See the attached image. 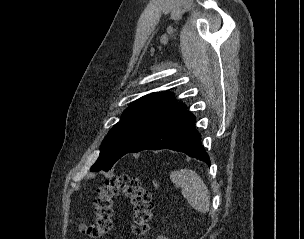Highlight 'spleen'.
<instances>
[{
	"label": "spleen",
	"instance_id": "spleen-1",
	"mask_svg": "<svg viewBox=\"0 0 304 239\" xmlns=\"http://www.w3.org/2000/svg\"><path fill=\"white\" fill-rule=\"evenodd\" d=\"M172 182L182 189L183 196L192 208L201 213H207L210 209V194L201 177L190 169H182L172 172Z\"/></svg>",
	"mask_w": 304,
	"mask_h": 239
}]
</instances>
